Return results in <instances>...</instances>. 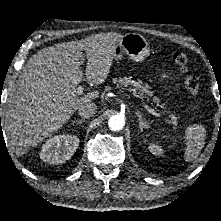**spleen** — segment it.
Listing matches in <instances>:
<instances>
[{
    "instance_id": "3e777b00",
    "label": "spleen",
    "mask_w": 221,
    "mask_h": 221,
    "mask_svg": "<svg viewBox=\"0 0 221 221\" xmlns=\"http://www.w3.org/2000/svg\"><path fill=\"white\" fill-rule=\"evenodd\" d=\"M206 137V130L203 125L194 124L187 128L185 132V152L184 159L186 161H192L198 157L202 150Z\"/></svg>"
}]
</instances>
